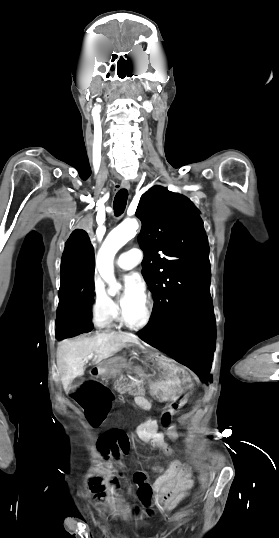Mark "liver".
I'll use <instances>...</instances> for the list:
<instances>
[{
	"label": "liver",
	"instance_id": "1",
	"mask_svg": "<svg viewBox=\"0 0 279 538\" xmlns=\"http://www.w3.org/2000/svg\"><path fill=\"white\" fill-rule=\"evenodd\" d=\"M126 344H139L138 340L130 334H96L94 338H78V340H63L57 348V366L61 374V382L65 392L69 384L83 376L84 360L90 354H97L94 364L114 356L125 348Z\"/></svg>",
	"mask_w": 279,
	"mask_h": 538
}]
</instances>
